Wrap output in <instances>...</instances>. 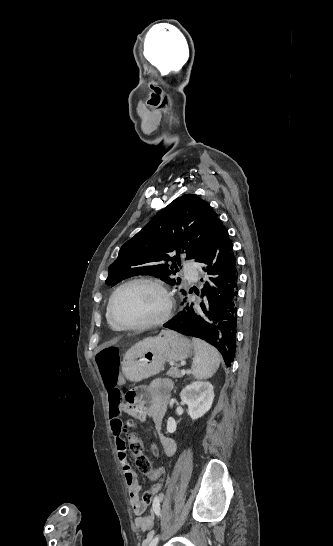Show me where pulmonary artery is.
Returning a JSON list of instances; mask_svg holds the SVG:
<instances>
[{"label": "pulmonary artery", "instance_id": "obj_1", "mask_svg": "<svg viewBox=\"0 0 333 546\" xmlns=\"http://www.w3.org/2000/svg\"><path fill=\"white\" fill-rule=\"evenodd\" d=\"M186 275L194 280L197 279V274L196 272L192 271L190 264L186 265Z\"/></svg>", "mask_w": 333, "mask_h": 546}]
</instances>
